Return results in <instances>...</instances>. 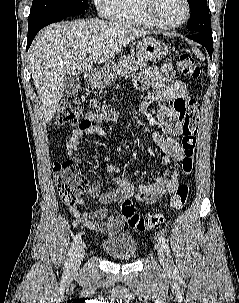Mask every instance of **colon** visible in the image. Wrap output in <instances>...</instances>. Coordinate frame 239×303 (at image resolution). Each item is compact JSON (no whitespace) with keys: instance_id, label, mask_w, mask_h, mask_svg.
Listing matches in <instances>:
<instances>
[{"instance_id":"obj_1","label":"colon","mask_w":239,"mask_h":303,"mask_svg":"<svg viewBox=\"0 0 239 303\" xmlns=\"http://www.w3.org/2000/svg\"><path fill=\"white\" fill-rule=\"evenodd\" d=\"M178 72L188 78H197L200 69L195 58L188 53L181 54L177 64ZM79 100L76 98L64 99L57 112L56 122L60 124L77 123L81 117ZM97 113L110 114L111 110L101 103L93 104ZM200 105L191 100L187 106V112L182 115V140L181 145L184 157L181 161L183 173L192 174L194 165V153L199 133ZM54 178L61 201L68 206H77L82 201V196L88 190V182L76 167L73 161L58 162L54 165ZM190 187L186 183L178 185L175 194L170 200L174 209L182 208L189 197ZM122 217L128 225L136 230L145 231L161 227L165 218L161 213L153 212L146 216L139 215L134 208L132 199H125L121 209Z\"/></svg>"}]
</instances>
